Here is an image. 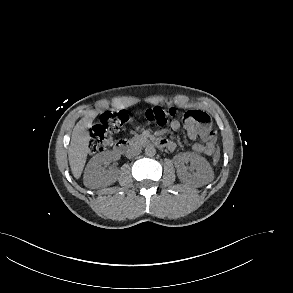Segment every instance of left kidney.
I'll return each instance as SVG.
<instances>
[{
    "instance_id": "5707ae66",
    "label": "left kidney",
    "mask_w": 293,
    "mask_h": 293,
    "mask_svg": "<svg viewBox=\"0 0 293 293\" xmlns=\"http://www.w3.org/2000/svg\"><path fill=\"white\" fill-rule=\"evenodd\" d=\"M182 164L177 168L178 178L182 182H192L196 185H205L213 178V171L208 161L194 153H182L178 155ZM190 162L195 169L194 173L187 171L184 163Z\"/></svg>"
}]
</instances>
